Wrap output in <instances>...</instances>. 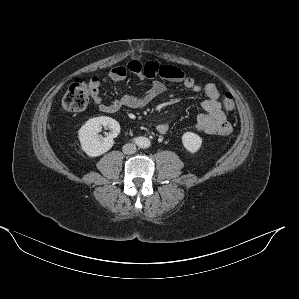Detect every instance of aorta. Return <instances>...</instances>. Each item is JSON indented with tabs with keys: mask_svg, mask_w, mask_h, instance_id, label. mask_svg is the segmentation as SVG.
I'll list each match as a JSON object with an SVG mask.
<instances>
[{
	"mask_svg": "<svg viewBox=\"0 0 299 299\" xmlns=\"http://www.w3.org/2000/svg\"><path fill=\"white\" fill-rule=\"evenodd\" d=\"M139 146L142 148H148L150 146V140L146 137L139 138Z\"/></svg>",
	"mask_w": 299,
	"mask_h": 299,
	"instance_id": "obj_1",
	"label": "aorta"
}]
</instances>
